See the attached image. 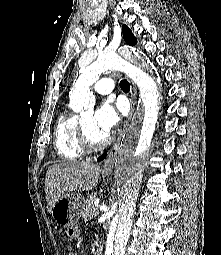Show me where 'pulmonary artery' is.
<instances>
[{"instance_id":"pulmonary-artery-1","label":"pulmonary artery","mask_w":221,"mask_h":255,"mask_svg":"<svg viewBox=\"0 0 221 255\" xmlns=\"http://www.w3.org/2000/svg\"><path fill=\"white\" fill-rule=\"evenodd\" d=\"M114 86V81L111 78L105 77L97 80L92 88L99 94L107 95L113 91Z\"/></svg>"}]
</instances>
